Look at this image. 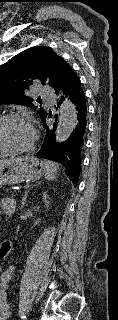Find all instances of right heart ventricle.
Returning a JSON list of instances; mask_svg holds the SVG:
<instances>
[{
    "label": "right heart ventricle",
    "mask_w": 118,
    "mask_h": 320,
    "mask_svg": "<svg viewBox=\"0 0 118 320\" xmlns=\"http://www.w3.org/2000/svg\"><path fill=\"white\" fill-rule=\"evenodd\" d=\"M4 156V153L0 150V158Z\"/></svg>",
    "instance_id": "right-heart-ventricle-1"
}]
</instances>
